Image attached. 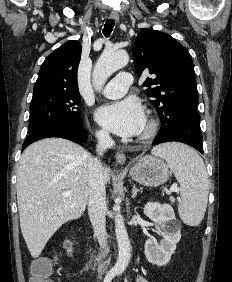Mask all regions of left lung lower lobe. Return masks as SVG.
<instances>
[{"label":"left lung lower lobe","instance_id":"1","mask_svg":"<svg viewBox=\"0 0 232 282\" xmlns=\"http://www.w3.org/2000/svg\"><path fill=\"white\" fill-rule=\"evenodd\" d=\"M171 141L190 145L203 154L200 115L197 110L180 105L167 118L161 119L160 132L153 145Z\"/></svg>","mask_w":232,"mask_h":282}]
</instances>
